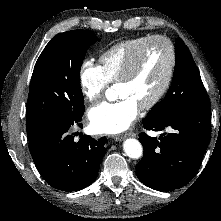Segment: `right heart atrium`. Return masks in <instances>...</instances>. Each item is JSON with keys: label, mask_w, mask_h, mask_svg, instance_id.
I'll list each match as a JSON object with an SVG mask.
<instances>
[{"label": "right heart atrium", "mask_w": 221, "mask_h": 221, "mask_svg": "<svg viewBox=\"0 0 221 221\" xmlns=\"http://www.w3.org/2000/svg\"><path fill=\"white\" fill-rule=\"evenodd\" d=\"M79 82L81 92L88 102L98 101L109 86V80L99 65L85 60L80 68Z\"/></svg>", "instance_id": "d8ad5b80"}]
</instances>
